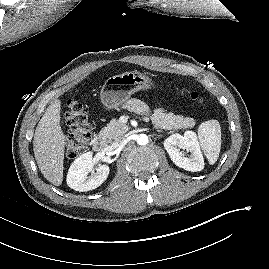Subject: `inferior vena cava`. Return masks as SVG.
<instances>
[{
    "label": "inferior vena cava",
    "mask_w": 269,
    "mask_h": 269,
    "mask_svg": "<svg viewBox=\"0 0 269 269\" xmlns=\"http://www.w3.org/2000/svg\"><path fill=\"white\" fill-rule=\"evenodd\" d=\"M123 142V137H120L118 139H116L113 143H112V147L113 148H118L121 143Z\"/></svg>",
    "instance_id": "obj_1"
}]
</instances>
